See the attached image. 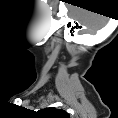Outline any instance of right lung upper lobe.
Segmentation results:
<instances>
[{
    "label": "right lung upper lobe",
    "mask_w": 118,
    "mask_h": 118,
    "mask_svg": "<svg viewBox=\"0 0 118 118\" xmlns=\"http://www.w3.org/2000/svg\"><path fill=\"white\" fill-rule=\"evenodd\" d=\"M48 111H56V109L50 108L48 109Z\"/></svg>",
    "instance_id": "right-lung-upper-lobe-1"
}]
</instances>
